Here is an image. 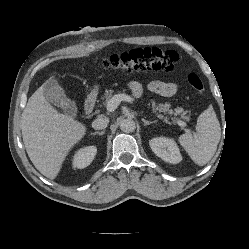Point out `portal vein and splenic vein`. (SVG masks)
Returning <instances> with one entry per match:
<instances>
[{
	"label": "portal vein and splenic vein",
	"instance_id": "obj_1",
	"mask_svg": "<svg viewBox=\"0 0 249 249\" xmlns=\"http://www.w3.org/2000/svg\"><path fill=\"white\" fill-rule=\"evenodd\" d=\"M121 101L132 102L133 99H132L129 95L124 94V93H122V94H116V95H114V96L108 101L107 106H106L107 110H108L109 112L115 111L116 108H117V107L119 106V104L121 103ZM176 123H177L179 126L183 127V128L186 127V123L183 122V121H181V120H177Z\"/></svg>",
	"mask_w": 249,
	"mask_h": 249
}]
</instances>
